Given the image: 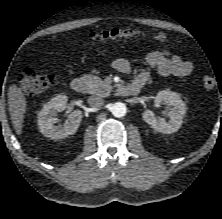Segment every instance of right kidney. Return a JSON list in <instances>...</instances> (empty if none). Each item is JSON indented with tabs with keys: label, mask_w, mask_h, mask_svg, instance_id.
<instances>
[{
	"label": "right kidney",
	"mask_w": 222,
	"mask_h": 219,
	"mask_svg": "<svg viewBox=\"0 0 222 219\" xmlns=\"http://www.w3.org/2000/svg\"><path fill=\"white\" fill-rule=\"evenodd\" d=\"M67 107V96L58 95L46 103L38 113L39 131L53 140L63 139L76 133L81 120L82 112L75 110L68 115L63 125H55L58 112L64 111Z\"/></svg>",
	"instance_id": "right-kidney-1"
}]
</instances>
